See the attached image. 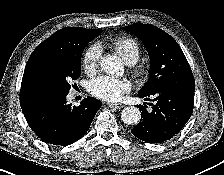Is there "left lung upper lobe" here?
Here are the masks:
<instances>
[{"label":"left lung upper lobe","instance_id":"obj_1","mask_svg":"<svg viewBox=\"0 0 224 175\" xmlns=\"http://www.w3.org/2000/svg\"><path fill=\"white\" fill-rule=\"evenodd\" d=\"M124 29L143 41L150 57V78L138 94H151L166 84H195L188 61L173 37L150 24L134 23Z\"/></svg>","mask_w":224,"mask_h":175}]
</instances>
